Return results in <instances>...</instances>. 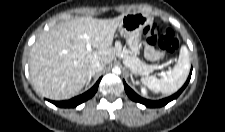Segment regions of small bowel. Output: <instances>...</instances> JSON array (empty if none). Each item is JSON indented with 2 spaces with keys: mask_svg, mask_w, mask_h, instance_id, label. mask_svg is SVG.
Here are the masks:
<instances>
[{
  "mask_svg": "<svg viewBox=\"0 0 225 132\" xmlns=\"http://www.w3.org/2000/svg\"><path fill=\"white\" fill-rule=\"evenodd\" d=\"M144 56L151 62L158 61L161 58V54L150 44H144Z\"/></svg>",
  "mask_w": 225,
  "mask_h": 132,
  "instance_id": "small-bowel-1",
  "label": "small bowel"
}]
</instances>
